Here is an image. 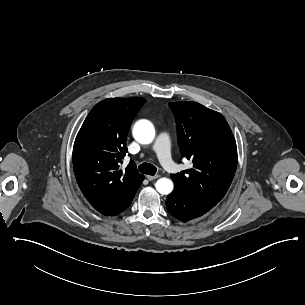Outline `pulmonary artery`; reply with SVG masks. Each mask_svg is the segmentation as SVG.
<instances>
[{
	"label": "pulmonary artery",
	"mask_w": 305,
	"mask_h": 305,
	"mask_svg": "<svg viewBox=\"0 0 305 305\" xmlns=\"http://www.w3.org/2000/svg\"><path fill=\"white\" fill-rule=\"evenodd\" d=\"M170 146L171 142L168 139V135L165 132H161L151 145V150L155 152L160 159L161 166L166 168L169 173L174 174L177 172L178 167L171 160Z\"/></svg>",
	"instance_id": "pulmonary-artery-1"
}]
</instances>
